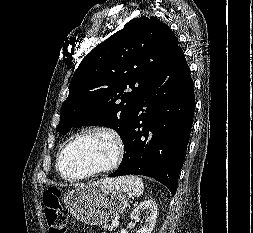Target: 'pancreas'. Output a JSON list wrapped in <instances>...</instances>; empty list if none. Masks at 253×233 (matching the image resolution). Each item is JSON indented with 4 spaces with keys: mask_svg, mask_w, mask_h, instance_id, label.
I'll return each mask as SVG.
<instances>
[{
    "mask_svg": "<svg viewBox=\"0 0 253 233\" xmlns=\"http://www.w3.org/2000/svg\"><path fill=\"white\" fill-rule=\"evenodd\" d=\"M104 229L108 231H113V227L108 224L104 225Z\"/></svg>",
    "mask_w": 253,
    "mask_h": 233,
    "instance_id": "obj_1",
    "label": "pancreas"
}]
</instances>
